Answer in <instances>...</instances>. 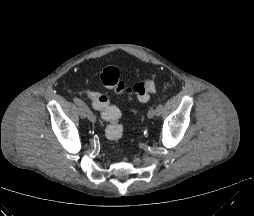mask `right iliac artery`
<instances>
[{"label":"right iliac artery","mask_w":254,"mask_h":216,"mask_svg":"<svg viewBox=\"0 0 254 216\" xmlns=\"http://www.w3.org/2000/svg\"><path fill=\"white\" fill-rule=\"evenodd\" d=\"M73 101L77 106L85 110V112L87 113V117L91 122L95 123L97 121V117L93 114V112L86 106V104L81 99L74 97Z\"/></svg>","instance_id":"82829eb1"}]
</instances>
